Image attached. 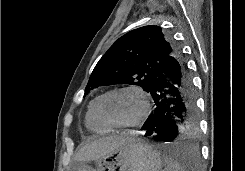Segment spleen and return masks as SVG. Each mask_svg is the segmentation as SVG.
<instances>
[{
  "mask_svg": "<svg viewBox=\"0 0 245 171\" xmlns=\"http://www.w3.org/2000/svg\"><path fill=\"white\" fill-rule=\"evenodd\" d=\"M166 167L163 171H185L181 164L170 156L164 157Z\"/></svg>",
  "mask_w": 245,
  "mask_h": 171,
  "instance_id": "obj_1",
  "label": "spleen"
}]
</instances>
